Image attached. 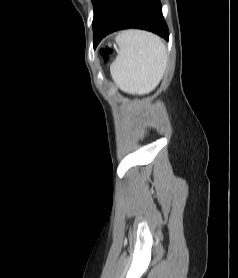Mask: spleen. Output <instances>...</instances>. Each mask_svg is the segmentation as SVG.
Returning a JSON list of instances; mask_svg holds the SVG:
<instances>
[{
	"label": "spleen",
	"mask_w": 238,
	"mask_h": 278,
	"mask_svg": "<svg viewBox=\"0 0 238 278\" xmlns=\"http://www.w3.org/2000/svg\"><path fill=\"white\" fill-rule=\"evenodd\" d=\"M118 55L111 65L116 85L129 93H148L161 81L167 50L160 37L142 30H125L117 37Z\"/></svg>",
	"instance_id": "3e777b00"
}]
</instances>
